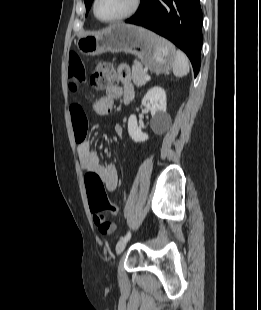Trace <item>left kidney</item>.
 Masks as SVG:
<instances>
[{
  "label": "left kidney",
  "mask_w": 261,
  "mask_h": 310,
  "mask_svg": "<svg viewBox=\"0 0 261 310\" xmlns=\"http://www.w3.org/2000/svg\"><path fill=\"white\" fill-rule=\"evenodd\" d=\"M142 105L151 111L152 130L156 133L164 131L170 123V116L166 112L165 90L160 86L149 89L142 99ZM128 133L134 142H144L148 139V135L138 127L136 115H131L128 119Z\"/></svg>",
  "instance_id": "left-kidney-1"
}]
</instances>
